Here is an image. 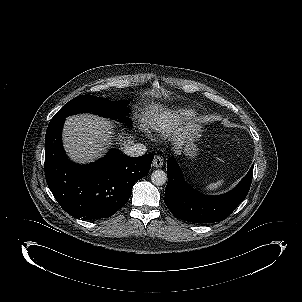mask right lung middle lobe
Masks as SVG:
<instances>
[{
    "instance_id": "dd1d6c3e",
    "label": "right lung middle lobe",
    "mask_w": 302,
    "mask_h": 302,
    "mask_svg": "<svg viewBox=\"0 0 302 302\" xmlns=\"http://www.w3.org/2000/svg\"><path fill=\"white\" fill-rule=\"evenodd\" d=\"M128 101L120 100L112 102L106 98L96 97L92 95H81L75 97L65 104L51 119V121L68 117L69 115L82 112H92L97 115L118 119L125 124L130 125L129 118L126 117Z\"/></svg>"
}]
</instances>
